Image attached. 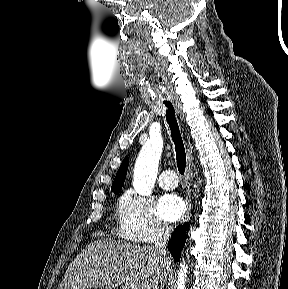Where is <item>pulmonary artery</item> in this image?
Masks as SVG:
<instances>
[{
  "label": "pulmonary artery",
  "mask_w": 288,
  "mask_h": 289,
  "mask_svg": "<svg viewBox=\"0 0 288 289\" xmlns=\"http://www.w3.org/2000/svg\"><path fill=\"white\" fill-rule=\"evenodd\" d=\"M158 183L163 189H173L177 186L178 178L174 171L164 170L159 177Z\"/></svg>",
  "instance_id": "e3ab8cb5"
}]
</instances>
